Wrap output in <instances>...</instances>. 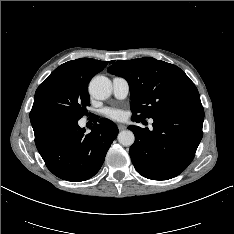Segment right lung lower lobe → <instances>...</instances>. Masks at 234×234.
<instances>
[{"instance_id":"98d812e1","label":"right lung lower lobe","mask_w":234,"mask_h":234,"mask_svg":"<svg viewBox=\"0 0 234 234\" xmlns=\"http://www.w3.org/2000/svg\"><path fill=\"white\" fill-rule=\"evenodd\" d=\"M94 119L91 132L85 134L79 119L61 114L30 116L36 147L54 175L79 182L99 171L118 128L107 119L95 115Z\"/></svg>"}]
</instances>
